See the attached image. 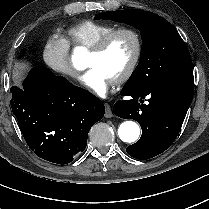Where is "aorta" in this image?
Instances as JSON below:
<instances>
[{
	"instance_id": "762f6f07",
	"label": "aorta",
	"mask_w": 209,
	"mask_h": 209,
	"mask_svg": "<svg viewBox=\"0 0 209 209\" xmlns=\"http://www.w3.org/2000/svg\"><path fill=\"white\" fill-rule=\"evenodd\" d=\"M72 63L75 68L81 70L85 68V63L82 55V49L76 48L72 55ZM119 138L126 143L135 142L140 135L139 125L134 121H125L121 123L118 129Z\"/></svg>"
}]
</instances>
